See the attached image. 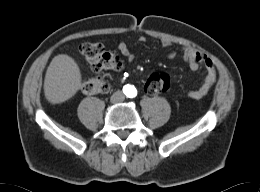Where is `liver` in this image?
<instances>
[{
  "label": "liver",
  "mask_w": 260,
  "mask_h": 192,
  "mask_svg": "<svg viewBox=\"0 0 260 192\" xmlns=\"http://www.w3.org/2000/svg\"><path fill=\"white\" fill-rule=\"evenodd\" d=\"M82 75L76 61L67 54H59L50 62L44 80L47 100L62 103L81 88Z\"/></svg>",
  "instance_id": "obj_1"
}]
</instances>
